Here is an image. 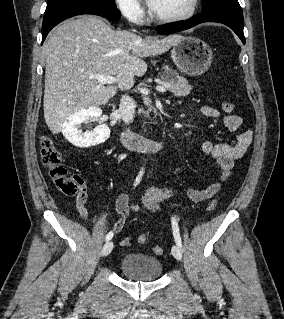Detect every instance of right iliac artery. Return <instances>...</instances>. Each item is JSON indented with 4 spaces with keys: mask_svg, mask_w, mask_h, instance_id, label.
I'll return each mask as SVG.
<instances>
[{
    "mask_svg": "<svg viewBox=\"0 0 284 319\" xmlns=\"http://www.w3.org/2000/svg\"><path fill=\"white\" fill-rule=\"evenodd\" d=\"M143 174H144V168H142L141 171L139 172V174H138V176H137V178H136V180H135L134 186H137V185L139 184V182H140V180H141ZM112 237H113V232L110 231V232L106 235V238H105V239H106V241H109V240L112 239Z\"/></svg>",
    "mask_w": 284,
    "mask_h": 319,
    "instance_id": "right-iliac-artery-1",
    "label": "right iliac artery"
}]
</instances>
